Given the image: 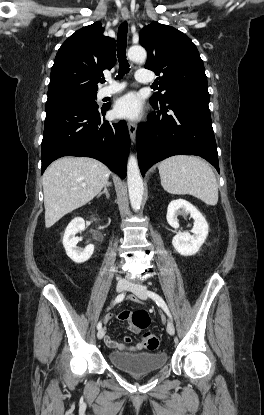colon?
Here are the masks:
<instances>
[{"instance_id": "1", "label": "colon", "mask_w": 264, "mask_h": 415, "mask_svg": "<svg viewBox=\"0 0 264 415\" xmlns=\"http://www.w3.org/2000/svg\"><path fill=\"white\" fill-rule=\"evenodd\" d=\"M131 322L134 326L144 329L149 325L150 320L145 312L135 311L131 314ZM142 345L147 352H154L159 347V340L154 334L145 332L142 335Z\"/></svg>"}]
</instances>
